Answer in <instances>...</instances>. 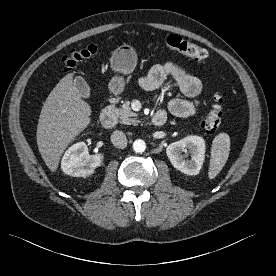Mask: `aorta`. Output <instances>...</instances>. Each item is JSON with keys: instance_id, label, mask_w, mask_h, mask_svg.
I'll list each match as a JSON object with an SVG mask.
<instances>
[{"instance_id": "obj_1", "label": "aorta", "mask_w": 276, "mask_h": 276, "mask_svg": "<svg viewBox=\"0 0 276 276\" xmlns=\"http://www.w3.org/2000/svg\"><path fill=\"white\" fill-rule=\"evenodd\" d=\"M133 149L137 153H143L146 150L145 141L138 139L133 142Z\"/></svg>"}]
</instances>
